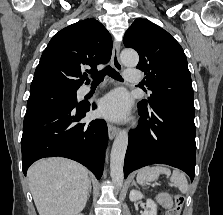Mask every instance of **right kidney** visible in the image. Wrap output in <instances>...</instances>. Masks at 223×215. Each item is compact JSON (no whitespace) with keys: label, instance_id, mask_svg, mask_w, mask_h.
<instances>
[{"label":"right kidney","instance_id":"1","mask_svg":"<svg viewBox=\"0 0 223 215\" xmlns=\"http://www.w3.org/2000/svg\"><path fill=\"white\" fill-rule=\"evenodd\" d=\"M78 215H83V213H78Z\"/></svg>","mask_w":223,"mask_h":215}]
</instances>
